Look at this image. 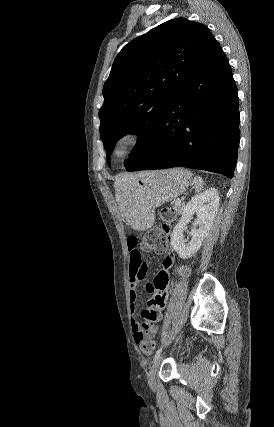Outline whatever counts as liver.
<instances>
[{
    "label": "liver",
    "instance_id": "obj_1",
    "mask_svg": "<svg viewBox=\"0 0 274 427\" xmlns=\"http://www.w3.org/2000/svg\"><path fill=\"white\" fill-rule=\"evenodd\" d=\"M134 176H141V174H125V176H120V178H116L114 188L116 190V200L119 202V206L121 208L124 194L126 192V188L129 182H132V178ZM123 214V210H122Z\"/></svg>",
    "mask_w": 274,
    "mask_h": 427
}]
</instances>
